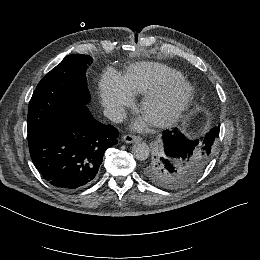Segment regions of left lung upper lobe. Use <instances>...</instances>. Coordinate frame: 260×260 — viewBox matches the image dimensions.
Listing matches in <instances>:
<instances>
[{"label": "left lung upper lobe", "mask_w": 260, "mask_h": 260, "mask_svg": "<svg viewBox=\"0 0 260 260\" xmlns=\"http://www.w3.org/2000/svg\"><path fill=\"white\" fill-rule=\"evenodd\" d=\"M212 156L213 152L196 151L183 158L169 159L162 143H158L142 171L148 181L161 188L179 189L195 182Z\"/></svg>", "instance_id": "1"}]
</instances>
